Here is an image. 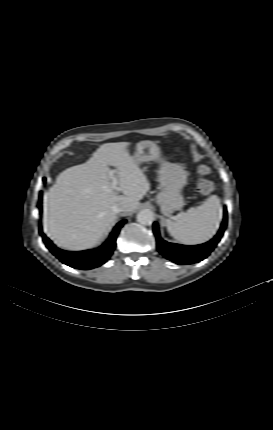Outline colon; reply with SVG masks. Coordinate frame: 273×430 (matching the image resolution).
<instances>
[{
  "instance_id": "colon-1",
  "label": "colon",
  "mask_w": 273,
  "mask_h": 430,
  "mask_svg": "<svg viewBox=\"0 0 273 430\" xmlns=\"http://www.w3.org/2000/svg\"><path fill=\"white\" fill-rule=\"evenodd\" d=\"M209 173L210 169L208 166L201 165L198 167L197 190L203 195H209L214 191L213 182L206 178Z\"/></svg>"
}]
</instances>
